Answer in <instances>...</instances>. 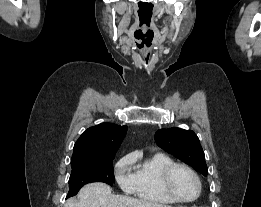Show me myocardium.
Masks as SVG:
<instances>
[{
    "instance_id": "obj_1",
    "label": "myocardium",
    "mask_w": 261,
    "mask_h": 207,
    "mask_svg": "<svg viewBox=\"0 0 261 207\" xmlns=\"http://www.w3.org/2000/svg\"><path fill=\"white\" fill-rule=\"evenodd\" d=\"M177 169H184V170L188 171L194 177V179L197 183V186H198V191L194 198L183 199V198L179 197L173 190L172 177H173L174 172ZM162 186H163L165 193L171 199H173L175 202H178V203H192L200 197L201 192H202V182H201L200 177L198 176L197 172L192 167H190L189 165L184 164V163H173L163 171Z\"/></svg>"
}]
</instances>
